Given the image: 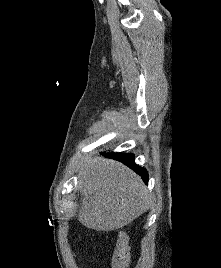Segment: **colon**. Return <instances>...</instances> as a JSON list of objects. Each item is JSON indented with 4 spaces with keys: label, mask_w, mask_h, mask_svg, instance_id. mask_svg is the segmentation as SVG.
<instances>
[{
    "label": "colon",
    "mask_w": 221,
    "mask_h": 268,
    "mask_svg": "<svg viewBox=\"0 0 221 268\" xmlns=\"http://www.w3.org/2000/svg\"><path fill=\"white\" fill-rule=\"evenodd\" d=\"M129 261L128 239L124 232H120L111 260V268H127Z\"/></svg>",
    "instance_id": "colon-1"
}]
</instances>
